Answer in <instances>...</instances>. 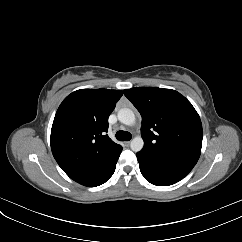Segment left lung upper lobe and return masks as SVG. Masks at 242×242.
Here are the masks:
<instances>
[{
    "mask_svg": "<svg viewBox=\"0 0 242 242\" xmlns=\"http://www.w3.org/2000/svg\"><path fill=\"white\" fill-rule=\"evenodd\" d=\"M142 116L143 151L189 167L202 147V124L192 104L179 92L162 88L124 90Z\"/></svg>",
    "mask_w": 242,
    "mask_h": 242,
    "instance_id": "left-lung-upper-lobe-1",
    "label": "left lung upper lobe"
}]
</instances>
